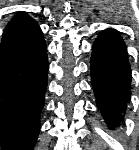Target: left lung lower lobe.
Wrapping results in <instances>:
<instances>
[{"instance_id":"0a47b994","label":"left lung lower lobe","mask_w":139,"mask_h":150,"mask_svg":"<svg viewBox=\"0 0 139 150\" xmlns=\"http://www.w3.org/2000/svg\"><path fill=\"white\" fill-rule=\"evenodd\" d=\"M92 48L91 77L97 106L114 128L130 102L132 77L127 48L115 30L102 31Z\"/></svg>"}]
</instances>
